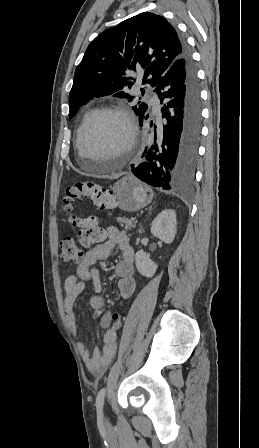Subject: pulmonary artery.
Returning <instances> with one entry per match:
<instances>
[{"label":"pulmonary artery","mask_w":259,"mask_h":448,"mask_svg":"<svg viewBox=\"0 0 259 448\" xmlns=\"http://www.w3.org/2000/svg\"><path fill=\"white\" fill-rule=\"evenodd\" d=\"M150 102L153 105L154 110L159 112L161 109L160 99L157 96H152L150 97Z\"/></svg>","instance_id":"e3ab8cb5"}]
</instances>
